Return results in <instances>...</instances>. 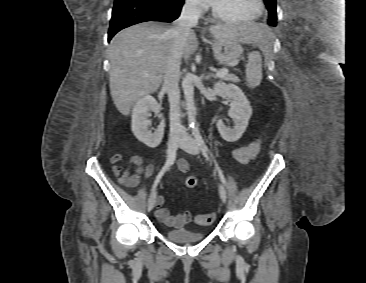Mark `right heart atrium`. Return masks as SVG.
<instances>
[{
    "instance_id": "1",
    "label": "right heart atrium",
    "mask_w": 366,
    "mask_h": 283,
    "mask_svg": "<svg viewBox=\"0 0 366 283\" xmlns=\"http://www.w3.org/2000/svg\"><path fill=\"white\" fill-rule=\"evenodd\" d=\"M187 8L195 13H201L204 10V0H186Z\"/></svg>"
}]
</instances>
